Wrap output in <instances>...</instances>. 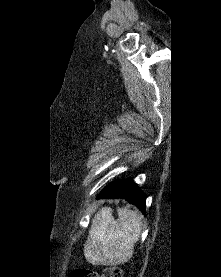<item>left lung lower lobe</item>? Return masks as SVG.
I'll use <instances>...</instances> for the list:
<instances>
[{
    "label": "left lung lower lobe",
    "instance_id": "obj_1",
    "mask_svg": "<svg viewBox=\"0 0 221 277\" xmlns=\"http://www.w3.org/2000/svg\"><path fill=\"white\" fill-rule=\"evenodd\" d=\"M98 198H124L134 204L145 214L146 196L138 188L132 178L118 180L108 184L98 195Z\"/></svg>",
    "mask_w": 221,
    "mask_h": 277
}]
</instances>
